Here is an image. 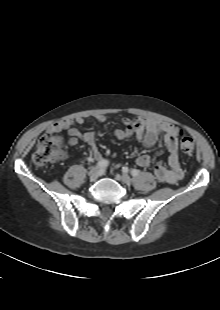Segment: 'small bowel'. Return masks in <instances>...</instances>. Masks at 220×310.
Segmentation results:
<instances>
[{"mask_svg":"<svg viewBox=\"0 0 220 310\" xmlns=\"http://www.w3.org/2000/svg\"><path fill=\"white\" fill-rule=\"evenodd\" d=\"M96 120L104 122L105 115H97ZM84 119L78 117L73 119H63L53 124L50 131L66 132L69 136L70 146H76L79 141H83L90 147V157L96 162L103 160L102 154L96 144V135L92 131L81 132L75 125L83 124ZM122 128L116 129L114 135L117 139H126L135 136L136 139L146 148H152L158 141L160 135L168 150V166L156 163L153 167V174L157 181L168 184H177L184 177V172L180 164L179 156V135L181 129L171 123L155 119L137 117L134 119L123 118ZM139 167L146 168L151 164L148 155H140L136 158Z\"/></svg>","mask_w":220,"mask_h":310,"instance_id":"c3829d8e","label":"small bowel"}]
</instances>
